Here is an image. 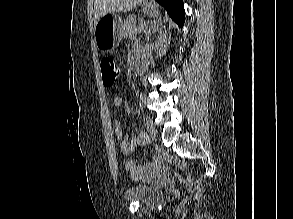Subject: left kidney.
Returning a JSON list of instances; mask_svg holds the SVG:
<instances>
[{"label":"left kidney","instance_id":"left-kidney-1","mask_svg":"<svg viewBox=\"0 0 293 219\" xmlns=\"http://www.w3.org/2000/svg\"><path fill=\"white\" fill-rule=\"evenodd\" d=\"M170 43V37L168 38L167 32H161L156 39V51L159 56H163L166 53L167 47Z\"/></svg>","mask_w":293,"mask_h":219}]
</instances>
